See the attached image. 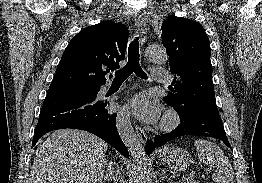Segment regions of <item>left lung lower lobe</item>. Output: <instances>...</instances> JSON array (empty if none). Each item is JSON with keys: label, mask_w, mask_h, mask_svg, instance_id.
I'll use <instances>...</instances> for the list:
<instances>
[{"label": "left lung lower lobe", "mask_w": 262, "mask_h": 183, "mask_svg": "<svg viewBox=\"0 0 262 183\" xmlns=\"http://www.w3.org/2000/svg\"><path fill=\"white\" fill-rule=\"evenodd\" d=\"M180 118V124L170 133L156 135L152 140L146 143V152L148 155L155 150L177 137L185 135L207 136L217 138L223 141L230 149L224 127L222 125L219 111L209 108H197L187 110H176Z\"/></svg>", "instance_id": "left-lung-lower-lobe-1"}]
</instances>
